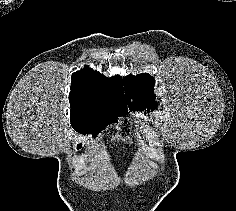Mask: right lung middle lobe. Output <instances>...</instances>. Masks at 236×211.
I'll return each instance as SVG.
<instances>
[{"label":"right lung middle lobe","mask_w":236,"mask_h":211,"mask_svg":"<svg viewBox=\"0 0 236 211\" xmlns=\"http://www.w3.org/2000/svg\"><path fill=\"white\" fill-rule=\"evenodd\" d=\"M128 112L118 114L71 112L70 120L74 130L82 134L91 133L94 137L109 123L117 121L118 116L127 115ZM82 144L77 146L80 149Z\"/></svg>","instance_id":"dd1d6c3e"}]
</instances>
